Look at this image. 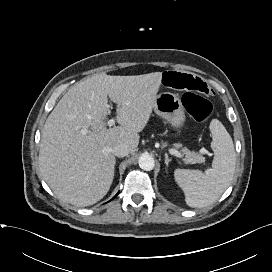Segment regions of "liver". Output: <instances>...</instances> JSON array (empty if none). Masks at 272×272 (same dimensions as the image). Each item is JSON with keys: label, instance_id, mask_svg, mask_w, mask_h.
I'll return each instance as SVG.
<instances>
[{"label": "liver", "instance_id": "liver-1", "mask_svg": "<svg viewBox=\"0 0 272 272\" xmlns=\"http://www.w3.org/2000/svg\"><path fill=\"white\" fill-rule=\"evenodd\" d=\"M162 72L135 76L96 74L71 87L48 116L41 136L39 167L63 202L89 206L109 191L116 164L113 147L134 153L139 132L155 106ZM108 97L117 104L119 126L106 127Z\"/></svg>", "mask_w": 272, "mask_h": 272}]
</instances>
